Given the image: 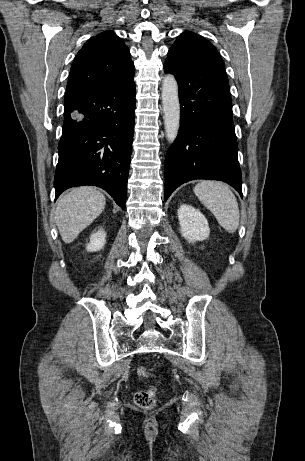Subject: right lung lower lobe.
I'll list each match as a JSON object with an SVG mask.
<instances>
[{
    "label": "right lung lower lobe",
    "mask_w": 305,
    "mask_h": 461,
    "mask_svg": "<svg viewBox=\"0 0 305 461\" xmlns=\"http://www.w3.org/2000/svg\"><path fill=\"white\" fill-rule=\"evenodd\" d=\"M133 77L66 93L55 199L70 187L94 185L125 208L136 106Z\"/></svg>",
    "instance_id": "1"
}]
</instances>
